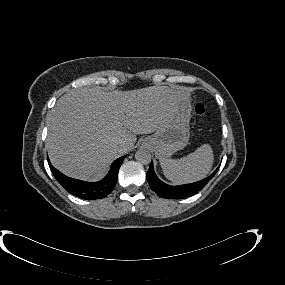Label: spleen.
<instances>
[{
    "mask_svg": "<svg viewBox=\"0 0 285 285\" xmlns=\"http://www.w3.org/2000/svg\"><path fill=\"white\" fill-rule=\"evenodd\" d=\"M214 162L209 144H203L194 152L180 159H160L165 177L173 183H191L205 178Z\"/></svg>",
    "mask_w": 285,
    "mask_h": 285,
    "instance_id": "3e777b00",
    "label": "spleen"
}]
</instances>
